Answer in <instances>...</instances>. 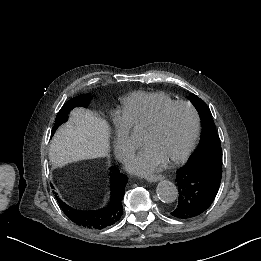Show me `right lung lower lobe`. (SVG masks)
Segmentation results:
<instances>
[{"label": "right lung lower lobe", "mask_w": 261, "mask_h": 261, "mask_svg": "<svg viewBox=\"0 0 261 261\" xmlns=\"http://www.w3.org/2000/svg\"><path fill=\"white\" fill-rule=\"evenodd\" d=\"M128 178L117 167L110 168L111 202L95 211H82L70 207L57 195L56 199L66 216L75 224L87 229H103L116 223L123 214L122 200Z\"/></svg>", "instance_id": "1"}]
</instances>
